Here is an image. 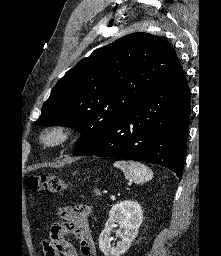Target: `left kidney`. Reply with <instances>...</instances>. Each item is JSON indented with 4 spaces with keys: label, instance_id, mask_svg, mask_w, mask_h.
Instances as JSON below:
<instances>
[{
    "label": "left kidney",
    "instance_id": "1",
    "mask_svg": "<svg viewBox=\"0 0 221 256\" xmlns=\"http://www.w3.org/2000/svg\"><path fill=\"white\" fill-rule=\"evenodd\" d=\"M143 221V211L136 201H122L112 206L105 228L99 236V247L105 256H121L130 247ZM116 236L121 238L116 247L111 246L110 233L117 227Z\"/></svg>",
    "mask_w": 221,
    "mask_h": 256
}]
</instances>
